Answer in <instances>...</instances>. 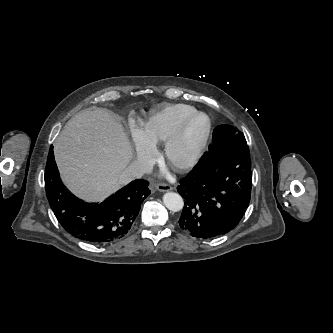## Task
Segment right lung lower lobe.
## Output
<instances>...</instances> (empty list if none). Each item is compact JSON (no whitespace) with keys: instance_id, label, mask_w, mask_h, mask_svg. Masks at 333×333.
I'll return each mask as SVG.
<instances>
[{"instance_id":"1","label":"right lung lower lobe","mask_w":333,"mask_h":333,"mask_svg":"<svg viewBox=\"0 0 333 333\" xmlns=\"http://www.w3.org/2000/svg\"><path fill=\"white\" fill-rule=\"evenodd\" d=\"M148 181H132L102 203H86L63 185L54 160L53 146L45 169L46 195L57 220L75 238L106 244L130 231L141 203L150 194Z\"/></svg>"}]
</instances>
